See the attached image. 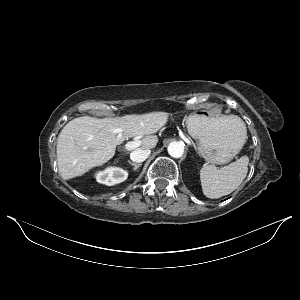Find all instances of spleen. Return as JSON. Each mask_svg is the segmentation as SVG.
Wrapping results in <instances>:
<instances>
[{
  "label": "spleen",
  "instance_id": "1",
  "mask_svg": "<svg viewBox=\"0 0 300 300\" xmlns=\"http://www.w3.org/2000/svg\"><path fill=\"white\" fill-rule=\"evenodd\" d=\"M230 119L234 126L243 133L244 141L247 138V130L244 121L235 115ZM249 158L242 156L228 166L217 169L214 165L202 167L200 180L202 191L208 198H220L233 192L245 179L248 172Z\"/></svg>",
  "mask_w": 300,
  "mask_h": 300
}]
</instances>
